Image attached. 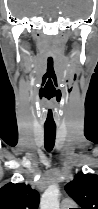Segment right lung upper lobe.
I'll return each mask as SVG.
<instances>
[{
  "label": "right lung upper lobe",
  "instance_id": "right-lung-upper-lobe-1",
  "mask_svg": "<svg viewBox=\"0 0 98 209\" xmlns=\"http://www.w3.org/2000/svg\"><path fill=\"white\" fill-rule=\"evenodd\" d=\"M39 193L29 185L8 183L0 189V209H37Z\"/></svg>",
  "mask_w": 98,
  "mask_h": 209
}]
</instances>
